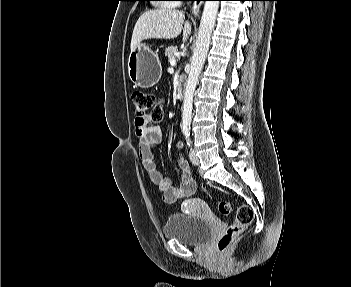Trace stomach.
Returning <instances> with one entry per match:
<instances>
[{
	"label": "stomach",
	"mask_w": 351,
	"mask_h": 287,
	"mask_svg": "<svg viewBox=\"0 0 351 287\" xmlns=\"http://www.w3.org/2000/svg\"><path fill=\"white\" fill-rule=\"evenodd\" d=\"M128 72L130 80L141 88L154 86L162 75L159 57L145 44H139L129 55Z\"/></svg>",
	"instance_id": "1"
}]
</instances>
